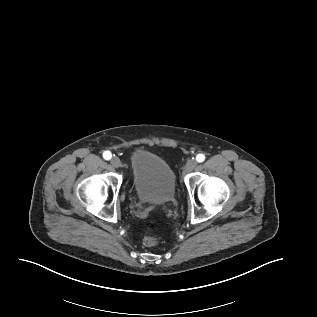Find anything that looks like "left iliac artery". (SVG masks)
I'll return each mask as SVG.
<instances>
[{"instance_id":"obj_1","label":"left iliac artery","mask_w":317,"mask_h":317,"mask_svg":"<svg viewBox=\"0 0 317 317\" xmlns=\"http://www.w3.org/2000/svg\"><path fill=\"white\" fill-rule=\"evenodd\" d=\"M196 160H197L198 162H203V161L205 160V155H203V154H198V155L196 156Z\"/></svg>"}]
</instances>
